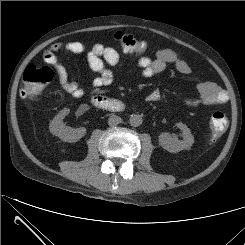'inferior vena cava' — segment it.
Returning a JSON list of instances; mask_svg holds the SVG:
<instances>
[{"mask_svg":"<svg viewBox=\"0 0 245 245\" xmlns=\"http://www.w3.org/2000/svg\"><path fill=\"white\" fill-rule=\"evenodd\" d=\"M121 122H122L121 117H119L117 115H112L108 119V125L109 126H116V125H118Z\"/></svg>","mask_w":245,"mask_h":245,"instance_id":"602c4592","label":"inferior vena cava"}]
</instances>
